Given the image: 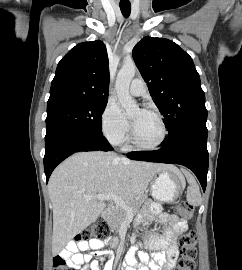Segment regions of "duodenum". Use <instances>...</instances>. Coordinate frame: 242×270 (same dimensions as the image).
Instances as JSON below:
<instances>
[{
    "label": "duodenum",
    "instance_id": "obj_1",
    "mask_svg": "<svg viewBox=\"0 0 242 270\" xmlns=\"http://www.w3.org/2000/svg\"><path fill=\"white\" fill-rule=\"evenodd\" d=\"M110 214H111V209L107 208L103 213V217L108 218L110 216Z\"/></svg>",
    "mask_w": 242,
    "mask_h": 270
}]
</instances>
